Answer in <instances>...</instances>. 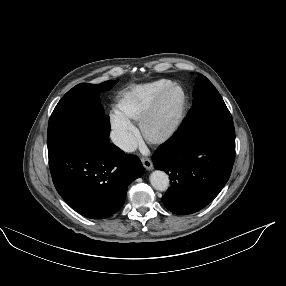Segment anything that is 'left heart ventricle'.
<instances>
[{"instance_id": "1", "label": "left heart ventricle", "mask_w": 286, "mask_h": 286, "mask_svg": "<svg viewBox=\"0 0 286 286\" xmlns=\"http://www.w3.org/2000/svg\"><path fill=\"white\" fill-rule=\"evenodd\" d=\"M182 102V92L179 89L171 91L159 105L153 119L148 125V133L152 136L165 131L177 116Z\"/></svg>"}]
</instances>
